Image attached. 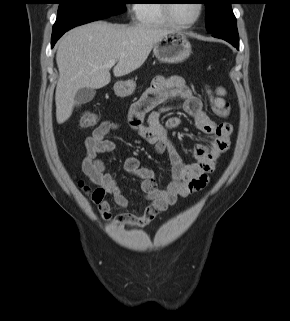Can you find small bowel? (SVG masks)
<instances>
[{
    "label": "small bowel",
    "instance_id": "obj_1",
    "mask_svg": "<svg viewBox=\"0 0 290 321\" xmlns=\"http://www.w3.org/2000/svg\"><path fill=\"white\" fill-rule=\"evenodd\" d=\"M170 101H179V104L172 105ZM177 106L193 119L198 131L211 136L208 145L198 143L194 146L196 162L192 164L183 161L167 134L168 129L181 126L183 120L174 117L165 124L161 122L162 114ZM128 118L131 128L140 138L153 144L158 153L167 154L171 167L167 185L159 187L154 170L141 167L137 158H127L123 168L142 180L141 191L147 204L142 207L140 214L125 212L113 216L108 196L119 208L125 209L129 205L116 174L108 172L100 158L101 154L111 152L116 147L112 140L106 138L119 128V124L113 120L103 121L86 138L82 171L100 190L99 194L92 197V202L104 220L121 226L145 227L178 199L206 187L208 174L214 169L219 156L230 146L232 126L228 122L213 121L203 110L202 101L192 93L181 76L156 77L152 86L132 104Z\"/></svg>",
    "mask_w": 290,
    "mask_h": 321
}]
</instances>
